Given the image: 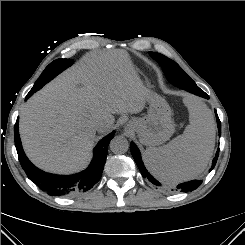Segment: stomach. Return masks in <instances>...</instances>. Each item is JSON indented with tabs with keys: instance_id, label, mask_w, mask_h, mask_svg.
Returning a JSON list of instances; mask_svg holds the SVG:
<instances>
[{
	"instance_id": "0dacf381",
	"label": "stomach",
	"mask_w": 245,
	"mask_h": 245,
	"mask_svg": "<svg viewBox=\"0 0 245 245\" xmlns=\"http://www.w3.org/2000/svg\"><path fill=\"white\" fill-rule=\"evenodd\" d=\"M148 100V114L131 120L127 128L139 136L142 144L151 147L167 141L174 133V124L171 119L172 111L162 97L150 93Z\"/></svg>"
}]
</instances>
